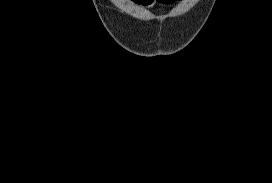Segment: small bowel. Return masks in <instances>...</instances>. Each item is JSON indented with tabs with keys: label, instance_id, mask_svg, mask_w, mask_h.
I'll return each instance as SVG.
<instances>
[{
	"label": "small bowel",
	"instance_id": "obj_1",
	"mask_svg": "<svg viewBox=\"0 0 272 183\" xmlns=\"http://www.w3.org/2000/svg\"><path fill=\"white\" fill-rule=\"evenodd\" d=\"M137 4L145 5V6H150L154 2H159L163 5H170L173 0H133Z\"/></svg>",
	"mask_w": 272,
	"mask_h": 183
}]
</instances>
